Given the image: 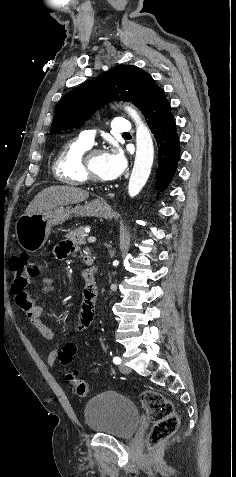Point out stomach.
<instances>
[{"mask_svg":"<svg viewBox=\"0 0 236 477\" xmlns=\"http://www.w3.org/2000/svg\"><path fill=\"white\" fill-rule=\"evenodd\" d=\"M111 212L104 200L96 199L75 207L58 206L41 214H24L16 222V238L24 250L34 253L44 246L52 227L64 223L72 215L109 218Z\"/></svg>","mask_w":236,"mask_h":477,"instance_id":"0dacf381","label":"stomach"}]
</instances>
